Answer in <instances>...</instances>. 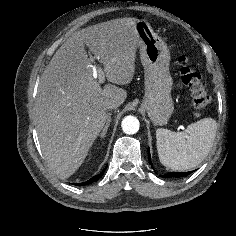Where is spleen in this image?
<instances>
[{"mask_svg":"<svg viewBox=\"0 0 236 236\" xmlns=\"http://www.w3.org/2000/svg\"><path fill=\"white\" fill-rule=\"evenodd\" d=\"M216 129L217 123L212 118L192 123L184 132L157 129L156 144L160 162L179 171L199 165L213 146Z\"/></svg>","mask_w":236,"mask_h":236,"instance_id":"obj_1","label":"spleen"}]
</instances>
